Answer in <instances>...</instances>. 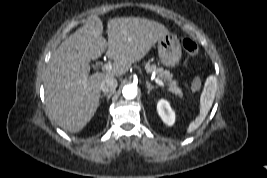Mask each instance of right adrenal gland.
I'll return each instance as SVG.
<instances>
[{"label": "right adrenal gland", "instance_id": "obj_1", "mask_svg": "<svg viewBox=\"0 0 267 178\" xmlns=\"http://www.w3.org/2000/svg\"><path fill=\"white\" fill-rule=\"evenodd\" d=\"M111 96H112V93H104L103 95H101V98H103V97H107V99L109 100L110 98H111Z\"/></svg>", "mask_w": 267, "mask_h": 178}]
</instances>
